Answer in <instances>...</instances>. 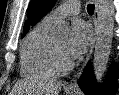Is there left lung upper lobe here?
Wrapping results in <instances>:
<instances>
[{"instance_id": "1", "label": "left lung upper lobe", "mask_w": 119, "mask_h": 95, "mask_svg": "<svg viewBox=\"0 0 119 95\" xmlns=\"http://www.w3.org/2000/svg\"><path fill=\"white\" fill-rule=\"evenodd\" d=\"M56 0H32L29 5L28 21L24 26V35L29 31L30 25H35L48 11L52 9Z\"/></svg>"}]
</instances>
